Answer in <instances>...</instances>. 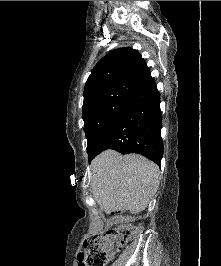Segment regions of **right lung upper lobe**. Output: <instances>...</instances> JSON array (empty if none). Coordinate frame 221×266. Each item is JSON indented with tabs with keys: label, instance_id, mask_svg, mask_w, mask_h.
Returning a JSON list of instances; mask_svg holds the SVG:
<instances>
[{
	"label": "right lung upper lobe",
	"instance_id": "1",
	"mask_svg": "<svg viewBox=\"0 0 221 266\" xmlns=\"http://www.w3.org/2000/svg\"><path fill=\"white\" fill-rule=\"evenodd\" d=\"M151 79L149 68L136 50L130 47L115 49L93 68L85 84L84 97L98 89L121 85L142 87Z\"/></svg>",
	"mask_w": 221,
	"mask_h": 266
}]
</instances>
